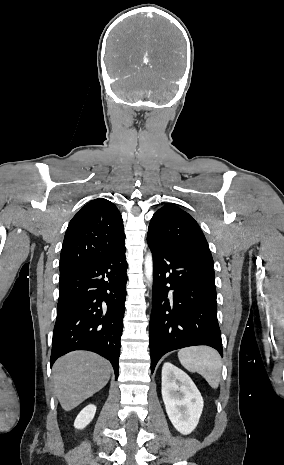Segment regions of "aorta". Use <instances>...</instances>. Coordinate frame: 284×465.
Returning <instances> with one entry per match:
<instances>
[{
    "label": "aorta",
    "mask_w": 284,
    "mask_h": 465,
    "mask_svg": "<svg viewBox=\"0 0 284 465\" xmlns=\"http://www.w3.org/2000/svg\"><path fill=\"white\" fill-rule=\"evenodd\" d=\"M145 276L151 284L153 280V259L151 253H147L144 261Z\"/></svg>",
    "instance_id": "obj_1"
}]
</instances>
